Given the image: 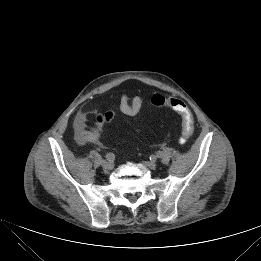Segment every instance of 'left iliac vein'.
<instances>
[{"instance_id":"obj_1","label":"left iliac vein","mask_w":261,"mask_h":261,"mask_svg":"<svg viewBox=\"0 0 261 261\" xmlns=\"http://www.w3.org/2000/svg\"><path fill=\"white\" fill-rule=\"evenodd\" d=\"M145 166L150 169H155L157 166V163L155 161H149V162H145Z\"/></svg>"}]
</instances>
